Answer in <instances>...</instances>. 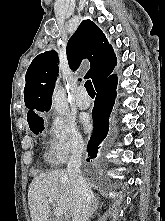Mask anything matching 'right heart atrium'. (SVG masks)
<instances>
[{
  "label": "right heart atrium",
  "instance_id": "obj_1",
  "mask_svg": "<svg viewBox=\"0 0 165 221\" xmlns=\"http://www.w3.org/2000/svg\"><path fill=\"white\" fill-rule=\"evenodd\" d=\"M84 147V138L74 122L62 116L52 117L47 142V156L52 162L64 163Z\"/></svg>",
  "mask_w": 165,
  "mask_h": 221
}]
</instances>
